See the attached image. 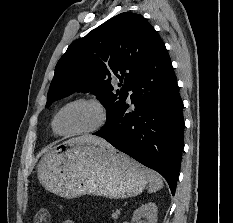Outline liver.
<instances>
[{
    "label": "liver",
    "instance_id": "obj_1",
    "mask_svg": "<svg viewBox=\"0 0 233 223\" xmlns=\"http://www.w3.org/2000/svg\"><path fill=\"white\" fill-rule=\"evenodd\" d=\"M71 143H80V141H90V143H95V145H105V147H112L108 141H105L103 137H96V135H90V133H86V135H80V137H72L69 139Z\"/></svg>",
    "mask_w": 233,
    "mask_h": 223
}]
</instances>
